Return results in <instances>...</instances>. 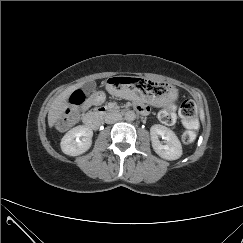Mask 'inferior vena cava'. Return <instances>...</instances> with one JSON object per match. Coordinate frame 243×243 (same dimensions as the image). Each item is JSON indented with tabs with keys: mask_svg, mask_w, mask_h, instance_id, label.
<instances>
[{
	"mask_svg": "<svg viewBox=\"0 0 243 243\" xmlns=\"http://www.w3.org/2000/svg\"><path fill=\"white\" fill-rule=\"evenodd\" d=\"M121 119H122V116H121L119 113H115V112H113V113H108V114H106V116H105V122H106L107 124H113V123H115V122L120 121Z\"/></svg>",
	"mask_w": 243,
	"mask_h": 243,
	"instance_id": "602c4592",
	"label": "inferior vena cava"
}]
</instances>
